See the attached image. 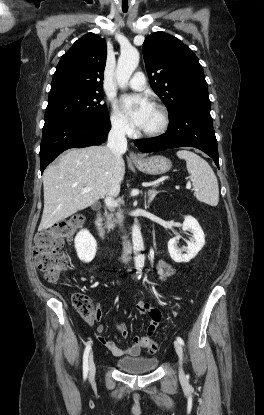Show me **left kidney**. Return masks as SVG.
<instances>
[{
  "mask_svg": "<svg viewBox=\"0 0 264 415\" xmlns=\"http://www.w3.org/2000/svg\"><path fill=\"white\" fill-rule=\"evenodd\" d=\"M182 229L184 232L190 231L192 233V237L187 241V247H183L182 249L177 247L180 236H176L168 242L170 257L177 263L189 262L198 254L205 244V234L198 221L192 216L184 217Z\"/></svg>",
  "mask_w": 264,
  "mask_h": 415,
  "instance_id": "5707ae66",
  "label": "left kidney"
}]
</instances>
